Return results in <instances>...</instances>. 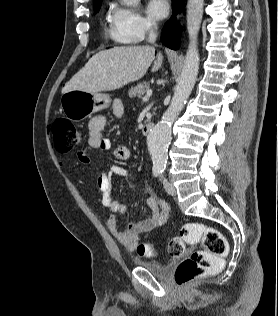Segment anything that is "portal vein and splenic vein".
<instances>
[{
    "instance_id": "1",
    "label": "portal vein and splenic vein",
    "mask_w": 278,
    "mask_h": 316,
    "mask_svg": "<svg viewBox=\"0 0 278 316\" xmlns=\"http://www.w3.org/2000/svg\"><path fill=\"white\" fill-rule=\"evenodd\" d=\"M152 96V89H148L146 95L142 98L143 101H148V99Z\"/></svg>"
}]
</instances>
